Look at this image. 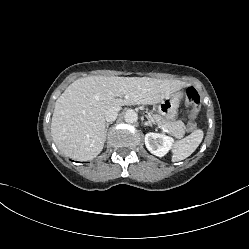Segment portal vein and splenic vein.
Returning <instances> with one entry per match:
<instances>
[{
	"label": "portal vein and splenic vein",
	"instance_id": "obj_1",
	"mask_svg": "<svg viewBox=\"0 0 249 249\" xmlns=\"http://www.w3.org/2000/svg\"><path fill=\"white\" fill-rule=\"evenodd\" d=\"M160 128H161L162 131H164V132H166V133L169 132V130H168L166 127H160Z\"/></svg>",
	"mask_w": 249,
	"mask_h": 249
}]
</instances>
